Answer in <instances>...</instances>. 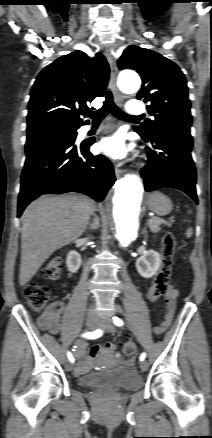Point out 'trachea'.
Here are the masks:
<instances>
[{"label":"trachea","instance_id":"obj_1","mask_svg":"<svg viewBox=\"0 0 212 438\" xmlns=\"http://www.w3.org/2000/svg\"><path fill=\"white\" fill-rule=\"evenodd\" d=\"M108 113H111L112 115L120 119L141 117V116L129 115L123 112L118 106H116L113 101V96L111 91H108L105 101L103 102V105L99 110L86 112V114L90 118H92L93 121H101Z\"/></svg>","mask_w":212,"mask_h":438}]
</instances>
